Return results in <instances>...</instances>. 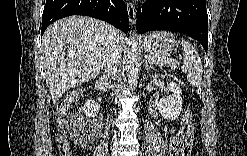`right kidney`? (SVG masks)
<instances>
[{
    "instance_id": "right-kidney-1",
    "label": "right kidney",
    "mask_w": 247,
    "mask_h": 156,
    "mask_svg": "<svg viewBox=\"0 0 247 156\" xmlns=\"http://www.w3.org/2000/svg\"><path fill=\"white\" fill-rule=\"evenodd\" d=\"M82 109L87 117L94 118L100 109V105L90 98L85 100V104Z\"/></svg>"
}]
</instances>
